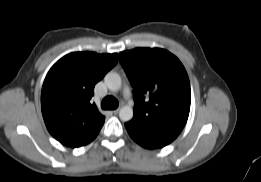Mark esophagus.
Returning <instances> with one entry per match:
<instances>
[{"label": "esophagus", "instance_id": "obj_1", "mask_svg": "<svg viewBox=\"0 0 261 182\" xmlns=\"http://www.w3.org/2000/svg\"><path fill=\"white\" fill-rule=\"evenodd\" d=\"M118 112H119V108L112 111V113L115 114V115L118 114Z\"/></svg>", "mask_w": 261, "mask_h": 182}]
</instances>
